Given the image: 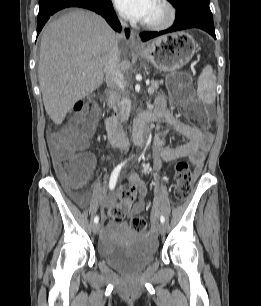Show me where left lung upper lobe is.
Listing matches in <instances>:
<instances>
[{
	"mask_svg": "<svg viewBox=\"0 0 261 306\" xmlns=\"http://www.w3.org/2000/svg\"><path fill=\"white\" fill-rule=\"evenodd\" d=\"M175 8L181 6L185 2L189 1H202L205 3H209V0H168Z\"/></svg>",
	"mask_w": 261,
	"mask_h": 306,
	"instance_id": "1",
	"label": "left lung upper lobe"
}]
</instances>
